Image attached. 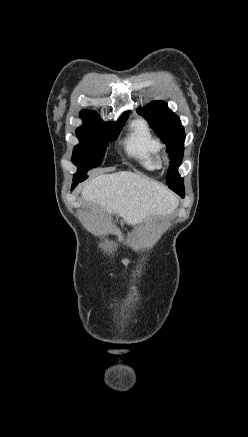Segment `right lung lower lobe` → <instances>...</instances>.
I'll use <instances>...</instances> for the list:
<instances>
[{"mask_svg":"<svg viewBox=\"0 0 248 437\" xmlns=\"http://www.w3.org/2000/svg\"><path fill=\"white\" fill-rule=\"evenodd\" d=\"M78 182H81L80 180H74V183H73V185H72V188H74L77 184H78Z\"/></svg>","mask_w":248,"mask_h":437,"instance_id":"right-lung-lower-lobe-1","label":"right lung lower lobe"}]
</instances>
